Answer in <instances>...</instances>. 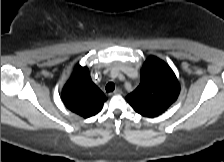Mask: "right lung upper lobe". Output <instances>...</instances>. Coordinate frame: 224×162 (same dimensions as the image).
Listing matches in <instances>:
<instances>
[{"label":"right lung upper lobe","mask_w":224,"mask_h":162,"mask_svg":"<svg viewBox=\"0 0 224 162\" xmlns=\"http://www.w3.org/2000/svg\"><path fill=\"white\" fill-rule=\"evenodd\" d=\"M64 104L72 112L89 118L99 113L107 100L92 82L89 69L77 65L62 91Z\"/></svg>","instance_id":"right-lung-upper-lobe-1"}]
</instances>
